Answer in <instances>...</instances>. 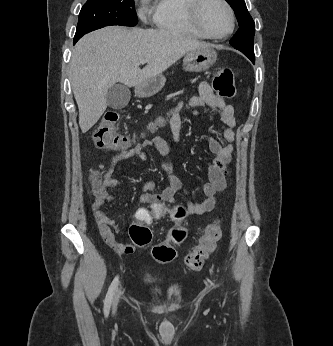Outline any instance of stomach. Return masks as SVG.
<instances>
[{
	"label": "stomach",
	"mask_w": 333,
	"mask_h": 346,
	"mask_svg": "<svg viewBox=\"0 0 333 346\" xmlns=\"http://www.w3.org/2000/svg\"><path fill=\"white\" fill-rule=\"evenodd\" d=\"M216 60V52L209 46L203 47L188 52L183 59V67L186 71L201 72L213 66ZM165 82L163 75H157L136 86L135 94L141 98L151 97L164 87Z\"/></svg>",
	"instance_id": "0dacf381"
}]
</instances>
